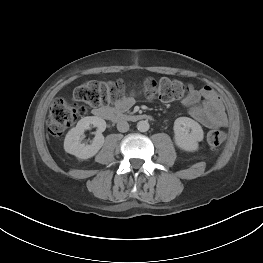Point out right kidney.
<instances>
[{
	"label": "right kidney",
	"instance_id": "1",
	"mask_svg": "<svg viewBox=\"0 0 263 263\" xmlns=\"http://www.w3.org/2000/svg\"><path fill=\"white\" fill-rule=\"evenodd\" d=\"M90 125L97 127L96 135L90 145L81 143L84 131L90 128ZM106 129V122L96 116H87L78 121L76 127L72 128L66 134L64 140V149L67 153L76 156L79 159H88L93 157L103 146L104 136L102 132Z\"/></svg>",
	"mask_w": 263,
	"mask_h": 263
}]
</instances>
